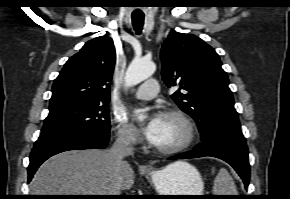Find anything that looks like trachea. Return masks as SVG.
<instances>
[{"label": "trachea", "instance_id": "3493384b", "mask_svg": "<svg viewBox=\"0 0 290 199\" xmlns=\"http://www.w3.org/2000/svg\"><path fill=\"white\" fill-rule=\"evenodd\" d=\"M144 23V15H132V24L134 27V30L139 35L142 31Z\"/></svg>", "mask_w": 290, "mask_h": 199}]
</instances>
